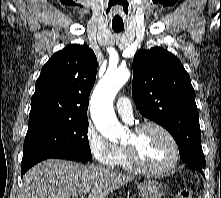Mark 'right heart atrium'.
Masks as SVG:
<instances>
[{
  "label": "right heart atrium",
  "instance_id": "right-heart-atrium-1",
  "mask_svg": "<svg viewBox=\"0 0 221 198\" xmlns=\"http://www.w3.org/2000/svg\"><path fill=\"white\" fill-rule=\"evenodd\" d=\"M85 140L93 158L100 164L112 167L117 156V146L106 139L92 124H88Z\"/></svg>",
  "mask_w": 221,
  "mask_h": 198
}]
</instances>
